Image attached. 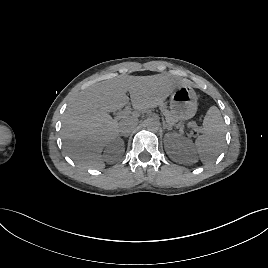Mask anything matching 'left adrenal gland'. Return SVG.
Returning <instances> with one entry per match:
<instances>
[{"label": "left adrenal gland", "instance_id": "a2214340", "mask_svg": "<svg viewBox=\"0 0 268 268\" xmlns=\"http://www.w3.org/2000/svg\"><path fill=\"white\" fill-rule=\"evenodd\" d=\"M163 128L167 129V130H170V127H168L165 123H163Z\"/></svg>", "mask_w": 268, "mask_h": 268}]
</instances>
